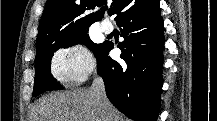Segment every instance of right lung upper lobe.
<instances>
[{
	"instance_id": "cb5924a9",
	"label": "right lung upper lobe",
	"mask_w": 217,
	"mask_h": 121,
	"mask_svg": "<svg viewBox=\"0 0 217 121\" xmlns=\"http://www.w3.org/2000/svg\"><path fill=\"white\" fill-rule=\"evenodd\" d=\"M133 2L134 0H113L110 10L117 15L115 20L131 7ZM106 4L107 0H47L36 45L59 40L88 28L102 19ZM97 7L101 10L93 11Z\"/></svg>"
}]
</instances>
